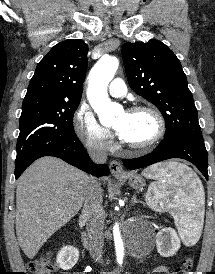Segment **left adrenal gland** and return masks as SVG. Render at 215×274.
<instances>
[{"label":"left adrenal gland","instance_id":"1","mask_svg":"<svg viewBox=\"0 0 215 274\" xmlns=\"http://www.w3.org/2000/svg\"><path fill=\"white\" fill-rule=\"evenodd\" d=\"M137 203H139V201L137 200V197H136V195L134 194L133 197H132V200H131V204H132V205H135V204H137Z\"/></svg>","mask_w":215,"mask_h":274}]
</instances>
